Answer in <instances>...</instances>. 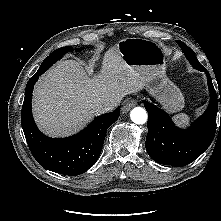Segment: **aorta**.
Listing matches in <instances>:
<instances>
[{"label": "aorta", "instance_id": "1", "mask_svg": "<svg viewBox=\"0 0 221 221\" xmlns=\"http://www.w3.org/2000/svg\"><path fill=\"white\" fill-rule=\"evenodd\" d=\"M130 118L135 124H144L147 121L148 115L144 108L135 107L130 112Z\"/></svg>", "mask_w": 221, "mask_h": 221}]
</instances>
